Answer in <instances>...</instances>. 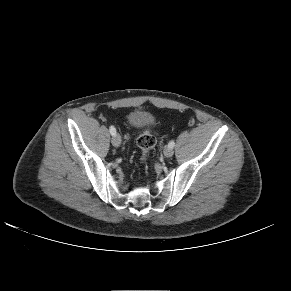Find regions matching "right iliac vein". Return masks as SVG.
I'll return each instance as SVG.
<instances>
[{"instance_id": "63e3f726", "label": "right iliac vein", "mask_w": 291, "mask_h": 291, "mask_svg": "<svg viewBox=\"0 0 291 291\" xmlns=\"http://www.w3.org/2000/svg\"><path fill=\"white\" fill-rule=\"evenodd\" d=\"M111 141L115 147H119L121 144V136L119 134H115Z\"/></svg>"}]
</instances>
